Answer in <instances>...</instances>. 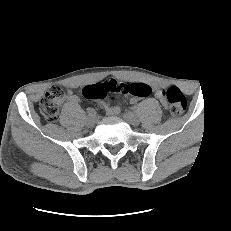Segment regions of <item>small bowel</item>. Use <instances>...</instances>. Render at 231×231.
I'll return each instance as SVG.
<instances>
[{"instance_id":"small-bowel-1","label":"small bowel","mask_w":231,"mask_h":231,"mask_svg":"<svg viewBox=\"0 0 231 231\" xmlns=\"http://www.w3.org/2000/svg\"><path fill=\"white\" fill-rule=\"evenodd\" d=\"M154 93H155V96L163 103L165 104V101L163 99V90H162V87L159 85V84H153L151 87H150ZM140 97H137V96H133L132 97V102H136L139 100ZM67 100L70 102V103H76L78 102V97L74 94H69L68 97H67ZM105 109L107 111L108 114H117L120 109L119 107L117 106H108V105H105Z\"/></svg>"}]
</instances>
